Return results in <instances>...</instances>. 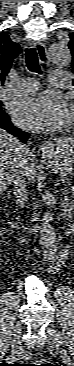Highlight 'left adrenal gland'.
<instances>
[{"instance_id": "a2214340", "label": "left adrenal gland", "mask_w": 74, "mask_h": 366, "mask_svg": "<svg viewBox=\"0 0 74 366\" xmlns=\"http://www.w3.org/2000/svg\"><path fill=\"white\" fill-rule=\"evenodd\" d=\"M62 207L64 208L63 211L66 212L68 210L67 208L69 207V199L66 194L64 196V201L62 203Z\"/></svg>"}]
</instances>
